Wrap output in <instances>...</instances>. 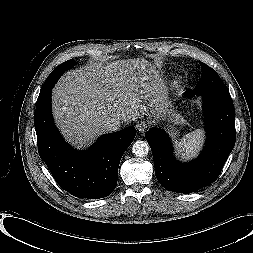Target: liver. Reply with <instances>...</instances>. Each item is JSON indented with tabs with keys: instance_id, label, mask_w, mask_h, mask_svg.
Returning <instances> with one entry per match:
<instances>
[{
	"instance_id": "obj_1",
	"label": "liver",
	"mask_w": 253,
	"mask_h": 253,
	"mask_svg": "<svg viewBox=\"0 0 253 253\" xmlns=\"http://www.w3.org/2000/svg\"><path fill=\"white\" fill-rule=\"evenodd\" d=\"M150 68V69H148ZM165 82L144 59L67 72L52 93L53 114L66 139L82 148L109 131L108 119L128 123L148 112L145 100L170 105Z\"/></svg>"
}]
</instances>
